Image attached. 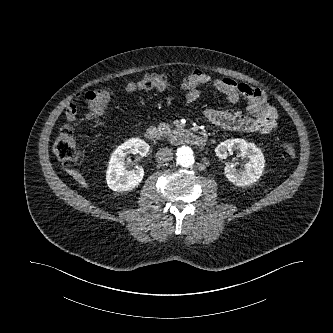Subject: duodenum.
Returning a JSON list of instances; mask_svg holds the SVG:
<instances>
[{
	"label": "duodenum",
	"instance_id": "1",
	"mask_svg": "<svg viewBox=\"0 0 333 333\" xmlns=\"http://www.w3.org/2000/svg\"><path fill=\"white\" fill-rule=\"evenodd\" d=\"M159 136V130L153 126L149 127L145 132V137L148 140H157ZM171 140L173 142H184L194 146H204L206 144V138L204 136L185 129L175 132Z\"/></svg>",
	"mask_w": 333,
	"mask_h": 333
}]
</instances>
